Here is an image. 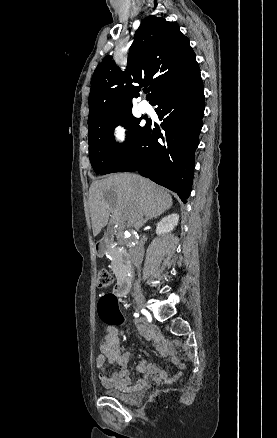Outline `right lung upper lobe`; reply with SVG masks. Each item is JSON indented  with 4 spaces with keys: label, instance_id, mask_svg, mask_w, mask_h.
Returning a JSON list of instances; mask_svg holds the SVG:
<instances>
[{
    "label": "right lung upper lobe",
    "instance_id": "1",
    "mask_svg": "<svg viewBox=\"0 0 277 438\" xmlns=\"http://www.w3.org/2000/svg\"><path fill=\"white\" fill-rule=\"evenodd\" d=\"M134 38L125 72L120 71L111 56H106L95 69L88 126L132 114V101L141 87L149 86L151 103L161 90L199 70L189 38L175 22L148 16ZM167 63H174L176 68L168 71Z\"/></svg>",
    "mask_w": 277,
    "mask_h": 438
}]
</instances>
